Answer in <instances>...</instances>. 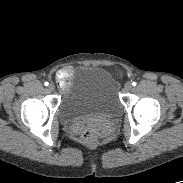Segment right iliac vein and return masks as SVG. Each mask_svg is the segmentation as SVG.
I'll use <instances>...</instances> for the list:
<instances>
[{
	"label": "right iliac vein",
	"mask_w": 183,
	"mask_h": 183,
	"mask_svg": "<svg viewBox=\"0 0 183 183\" xmlns=\"http://www.w3.org/2000/svg\"><path fill=\"white\" fill-rule=\"evenodd\" d=\"M48 90H49V91H54V90H55V86H54L53 84H50V85L48 86Z\"/></svg>",
	"instance_id": "63e3f726"
}]
</instances>
